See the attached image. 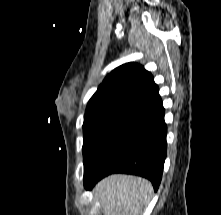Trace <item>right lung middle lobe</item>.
Segmentation results:
<instances>
[{
  "label": "right lung middle lobe",
  "instance_id": "right-lung-middle-lobe-1",
  "mask_svg": "<svg viewBox=\"0 0 221 215\" xmlns=\"http://www.w3.org/2000/svg\"><path fill=\"white\" fill-rule=\"evenodd\" d=\"M135 111L134 107L118 103L87 105L83 123L84 171L97 157L109 137Z\"/></svg>",
  "mask_w": 221,
  "mask_h": 215
}]
</instances>
